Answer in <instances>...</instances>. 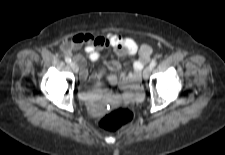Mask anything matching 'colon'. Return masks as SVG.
Returning <instances> with one entry per match:
<instances>
[{
    "mask_svg": "<svg viewBox=\"0 0 225 155\" xmlns=\"http://www.w3.org/2000/svg\"><path fill=\"white\" fill-rule=\"evenodd\" d=\"M134 119V111L128 107H118L99 119V128L106 132L117 131L129 125Z\"/></svg>",
    "mask_w": 225,
    "mask_h": 155,
    "instance_id": "obj_1",
    "label": "colon"
}]
</instances>
